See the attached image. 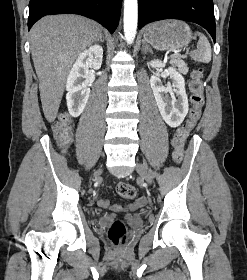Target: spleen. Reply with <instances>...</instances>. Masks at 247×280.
<instances>
[{"label": "spleen", "mask_w": 247, "mask_h": 280, "mask_svg": "<svg viewBox=\"0 0 247 280\" xmlns=\"http://www.w3.org/2000/svg\"><path fill=\"white\" fill-rule=\"evenodd\" d=\"M197 36H199V41L197 43V49L193 51L190 55L193 60L202 63H209L211 61V45L202 33L197 32Z\"/></svg>", "instance_id": "3e777b00"}]
</instances>
